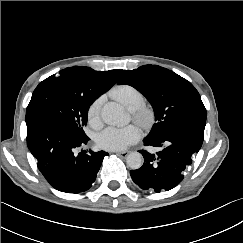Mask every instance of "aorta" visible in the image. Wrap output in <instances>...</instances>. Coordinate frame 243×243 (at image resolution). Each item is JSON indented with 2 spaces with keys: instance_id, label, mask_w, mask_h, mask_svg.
Returning <instances> with one entry per match:
<instances>
[{
  "instance_id": "1",
  "label": "aorta",
  "mask_w": 243,
  "mask_h": 243,
  "mask_svg": "<svg viewBox=\"0 0 243 243\" xmlns=\"http://www.w3.org/2000/svg\"><path fill=\"white\" fill-rule=\"evenodd\" d=\"M101 118L108 125L123 126L128 123V116L124 109L115 102L103 106ZM126 163L133 170L139 169L143 164V156L139 152H131L126 157Z\"/></svg>"
}]
</instances>
